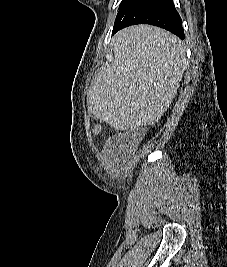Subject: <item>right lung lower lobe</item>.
<instances>
[{"mask_svg":"<svg viewBox=\"0 0 227 267\" xmlns=\"http://www.w3.org/2000/svg\"><path fill=\"white\" fill-rule=\"evenodd\" d=\"M135 24H151L184 39L182 20L173 0H127L120 8L112 34Z\"/></svg>","mask_w":227,"mask_h":267,"instance_id":"1","label":"right lung lower lobe"}]
</instances>
